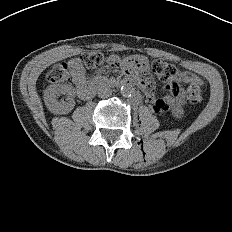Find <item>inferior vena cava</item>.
<instances>
[{"mask_svg": "<svg viewBox=\"0 0 232 232\" xmlns=\"http://www.w3.org/2000/svg\"><path fill=\"white\" fill-rule=\"evenodd\" d=\"M111 94L112 90L109 87L101 86L98 89V96L100 98H108L109 96H111Z\"/></svg>", "mask_w": 232, "mask_h": 232, "instance_id": "602c4592", "label": "inferior vena cava"}]
</instances>
